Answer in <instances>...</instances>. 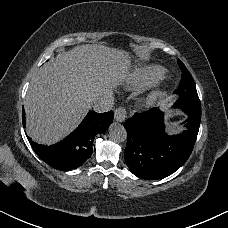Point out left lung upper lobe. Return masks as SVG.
Returning <instances> with one entry per match:
<instances>
[{
  "label": "left lung upper lobe",
  "instance_id": "left-lung-upper-lobe-1",
  "mask_svg": "<svg viewBox=\"0 0 228 228\" xmlns=\"http://www.w3.org/2000/svg\"><path fill=\"white\" fill-rule=\"evenodd\" d=\"M178 65L182 71V79L180 81L178 89L175 90V93L180 94V98L174 104V107L186 111L192 110L200 113L201 105L194 80L190 72L180 60H178Z\"/></svg>",
  "mask_w": 228,
  "mask_h": 228
}]
</instances>
